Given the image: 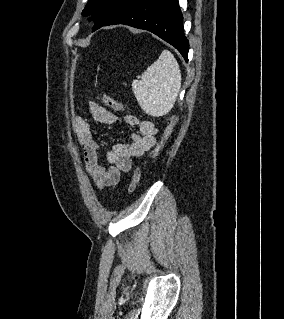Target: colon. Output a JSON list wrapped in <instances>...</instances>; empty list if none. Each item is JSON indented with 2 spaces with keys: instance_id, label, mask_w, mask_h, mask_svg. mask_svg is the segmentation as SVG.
I'll return each mask as SVG.
<instances>
[{
  "instance_id": "colon-1",
  "label": "colon",
  "mask_w": 284,
  "mask_h": 319,
  "mask_svg": "<svg viewBox=\"0 0 284 319\" xmlns=\"http://www.w3.org/2000/svg\"><path fill=\"white\" fill-rule=\"evenodd\" d=\"M99 98L104 105L108 106L109 108H112L113 110L124 111L127 109L125 105H123L122 103H120L119 101H117L116 99H114L113 97L105 93L100 94ZM175 124H176V118L174 116L169 117L167 126L163 132L161 141L156 146V148L151 152V156H156L160 153L164 145L168 142ZM140 176H141L140 169L136 167L133 171L131 182L129 184V188H128L129 194L133 193L135 189L137 188L140 181Z\"/></svg>"
}]
</instances>
